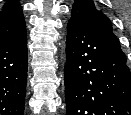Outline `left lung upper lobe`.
Segmentation results:
<instances>
[{
	"instance_id": "5c2ea615",
	"label": "left lung upper lobe",
	"mask_w": 131,
	"mask_h": 115,
	"mask_svg": "<svg viewBox=\"0 0 131 115\" xmlns=\"http://www.w3.org/2000/svg\"><path fill=\"white\" fill-rule=\"evenodd\" d=\"M71 18L92 30L117 52L122 54L118 38L112 32L110 20L96 9L93 0H75L72 7Z\"/></svg>"
}]
</instances>
